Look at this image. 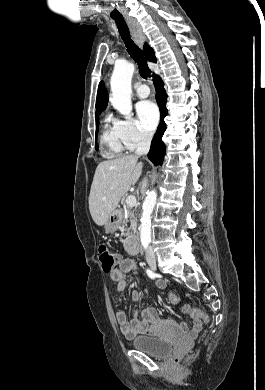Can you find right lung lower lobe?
<instances>
[{"label":"right lung lower lobe","instance_id":"1","mask_svg":"<svg viewBox=\"0 0 265 390\" xmlns=\"http://www.w3.org/2000/svg\"><path fill=\"white\" fill-rule=\"evenodd\" d=\"M153 81L156 90V101L160 107L161 121L152 139L148 158L155 166H157L162 165L165 155V144L162 141V136L166 130V124L163 119L167 116L168 111L165 106L167 101V94L164 89V84L157 75L153 77Z\"/></svg>","mask_w":265,"mask_h":390}]
</instances>
